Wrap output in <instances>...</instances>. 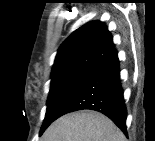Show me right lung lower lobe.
<instances>
[{
  "label": "right lung lower lobe",
  "instance_id": "1",
  "mask_svg": "<svg viewBox=\"0 0 155 141\" xmlns=\"http://www.w3.org/2000/svg\"><path fill=\"white\" fill-rule=\"evenodd\" d=\"M83 109L103 113L127 136V111L120 81L119 59L115 50L62 107L60 116Z\"/></svg>",
  "mask_w": 155,
  "mask_h": 141
}]
</instances>
